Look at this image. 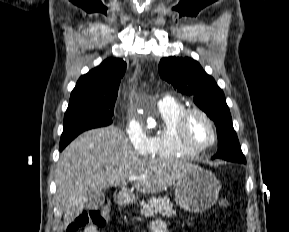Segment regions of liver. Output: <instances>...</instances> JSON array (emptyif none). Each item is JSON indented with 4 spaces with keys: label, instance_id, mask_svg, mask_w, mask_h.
<instances>
[{
    "label": "liver",
    "instance_id": "1",
    "mask_svg": "<svg viewBox=\"0 0 289 232\" xmlns=\"http://www.w3.org/2000/svg\"><path fill=\"white\" fill-rule=\"evenodd\" d=\"M193 165L172 159L139 158L126 135L114 126L81 134L61 153L56 170V195L67 227L82 212L91 189L122 186L140 176L134 187L141 193L166 191Z\"/></svg>",
    "mask_w": 289,
    "mask_h": 232
}]
</instances>
